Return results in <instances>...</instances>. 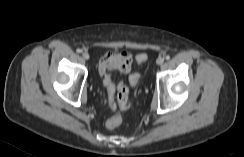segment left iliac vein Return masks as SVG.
I'll return each instance as SVG.
<instances>
[{
	"mask_svg": "<svg viewBox=\"0 0 244 157\" xmlns=\"http://www.w3.org/2000/svg\"><path fill=\"white\" fill-rule=\"evenodd\" d=\"M156 63L158 65H162L164 63V59L162 57H159L157 60H156Z\"/></svg>",
	"mask_w": 244,
	"mask_h": 157,
	"instance_id": "obj_1",
	"label": "left iliac vein"
}]
</instances>
